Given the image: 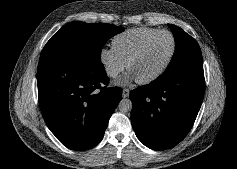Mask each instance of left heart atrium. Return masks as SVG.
Returning a JSON list of instances; mask_svg holds the SVG:
<instances>
[{"instance_id":"left-heart-atrium-1","label":"left heart atrium","mask_w":237,"mask_h":169,"mask_svg":"<svg viewBox=\"0 0 237 169\" xmlns=\"http://www.w3.org/2000/svg\"><path fill=\"white\" fill-rule=\"evenodd\" d=\"M130 77H133V78H135V77H134V75H133L131 72H130Z\"/></svg>"}]
</instances>
